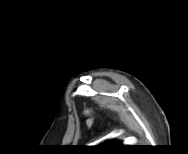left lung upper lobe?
I'll return each mask as SVG.
<instances>
[{
    "label": "left lung upper lobe",
    "mask_w": 188,
    "mask_h": 154,
    "mask_svg": "<svg viewBox=\"0 0 188 154\" xmlns=\"http://www.w3.org/2000/svg\"><path fill=\"white\" fill-rule=\"evenodd\" d=\"M101 145L105 146V147H123V145L120 142H116V141H114V142L108 141Z\"/></svg>",
    "instance_id": "1"
}]
</instances>
